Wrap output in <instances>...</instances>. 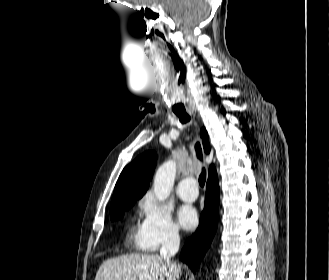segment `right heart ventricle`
I'll return each instance as SVG.
<instances>
[{"mask_svg": "<svg viewBox=\"0 0 329 280\" xmlns=\"http://www.w3.org/2000/svg\"><path fill=\"white\" fill-rule=\"evenodd\" d=\"M128 242L134 244L136 247L145 249L144 245L141 241L140 235H139V229H131V231L128 234Z\"/></svg>", "mask_w": 329, "mask_h": 280, "instance_id": "right-heart-ventricle-1", "label": "right heart ventricle"}]
</instances>
